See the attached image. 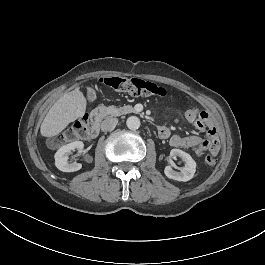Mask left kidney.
I'll return each mask as SVG.
<instances>
[{
  "label": "left kidney",
  "mask_w": 265,
  "mask_h": 265,
  "mask_svg": "<svg viewBox=\"0 0 265 265\" xmlns=\"http://www.w3.org/2000/svg\"><path fill=\"white\" fill-rule=\"evenodd\" d=\"M171 156H180L185 161V166L180 172L172 170L170 166L165 167L164 174L168 179L187 182L194 178L197 168L196 161L185 151L174 148L171 150Z\"/></svg>",
  "instance_id": "obj_1"
}]
</instances>
